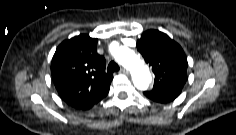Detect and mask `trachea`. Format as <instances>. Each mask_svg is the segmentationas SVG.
<instances>
[{
    "mask_svg": "<svg viewBox=\"0 0 236 135\" xmlns=\"http://www.w3.org/2000/svg\"><path fill=\"white\" fill-rule=\"evenodd\" d=\"M119 69L120 68H119L118 64L114 61H111L107 67V70L109 72H117V71H119Z\"/></svg>",
    "mask_w": 236,
    "mask_h": 135,
    "instance_id": "trachea-1",
    "label": "trachea"
}]
</instances>
